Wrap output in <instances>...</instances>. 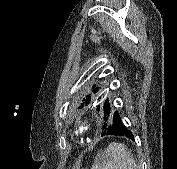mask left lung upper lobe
<instances>
[{
  "mask_svg": "<svg viewBox=\"0 0 177 169\" xmlns=\"http://www.w3.org/2000/svg\"><path fill=\"white\" fill-rule=\"evenodd\" d=\"M99 85L100 84L98 83V84H95V85L92 86V88L90 89L89 95H87L83 98V103L81 104V107H83V106H85L89 103H93V101L96 99V97L98 96V94L100 92V86ZM104 116L107 117V118L110 116V104L108 102V99L104 103ZM111 121H112V118H109V121L103 125L102 133L111 124Z\"/></svg>",
  "mask_w": 177,
  "mask_h": 169,
  "instance_id": "1",
  "label": "left lung upper lobe"
}]
</instances>
